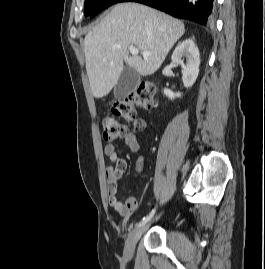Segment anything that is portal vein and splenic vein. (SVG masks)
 Returning <instances> with one entry per match:
<instances>
[{
	"label": "portal vein and splenic vein",
	"instance_id": "1",
	"mask_svg": "<svg viewBox=\"0 0 265 269\" xmlns=\"http://www.w3.org/2000/svg\"><path fill=\"white\" fill-rule=\"evenodd\" d=\"M129 50H130V53H131L132 55H138V53H139V49L136 48V47H133V46H131V47L129 48ZM150 55H151V52H149V51H144V52L142 53V56H143L144 58H147V57L150 56Z\"/></svg>",
	"mask_w": 265,
	"mask_h": 269
}]
</instances>
